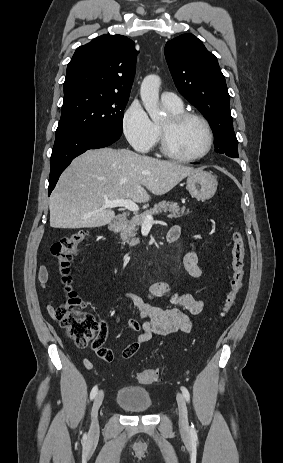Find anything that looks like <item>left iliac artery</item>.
<instances>
[{"instance_id": "left-iliac-artery-1", "label": "left iliac artery", "mask_w": 283, "mask_h": 463, "mask_svg": "<svg viewBox=\"0 0 283 463\" xmlns=\"http://www.w3.org/2000/svg\"><path fill=\"white\" fill-rule=\"evenodd\" d=\"M181 390H182V393H183L184 398L186 399L187 402H189V401H190V394H189L188 389H187L186 387H182ZM191 435H192L193 437H196V436H197V435H196V430H195L193 424L191 425Z\"/></svg>"}]
</instances>
